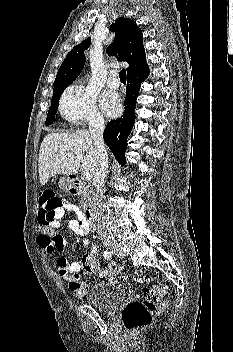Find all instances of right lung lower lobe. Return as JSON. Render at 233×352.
I'll list each match as a JSON object with an SVG mask.
<instances>
[{
  "label": "right lung lower lobe",
  "instance_id": "1",
  "mask_svg": "<svg viewBox=\"0 0 233 352\" xmlns=\"http://www.w3.org/2000/svg\"><path fill=\"white\" fill-rule=\"evenodd\" d=\"M149 69L145 72L128 78L125 98V111L121 118L111 120L104 130L103 138L114 154L116 160L123 166L126 163V141L135 122L136 97L141 83L148 76Z\"/></svg>",
  "mask_w": 233,
  "mask_h": 352
}]
</instances>
